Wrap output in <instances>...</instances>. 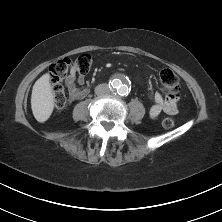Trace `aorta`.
Segmentation results:
<instances>
[{"mask_svg":"<svg viewBox=\"0 0 222 222\" xmlns=\"http://www.w3.org/2000/svg\"><path fill=\"white\" fill-rule=\"evenodd\" d=\"M111 88L118 94V95H127L130 91V86L128 80L125 77H118L111 81Z\"/></svg>","mask_w":222,"mask_h":222,"instance_id":"1","label":"aorta"}]
</instances>
